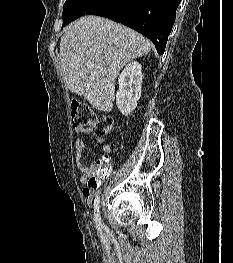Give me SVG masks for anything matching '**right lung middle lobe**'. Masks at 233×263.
Wrapping results in <instances>:
<instances>
[{"mask_svg":"<svg viewBox=\"0 0 233 263\" xmlns=\"http://www.w3.org/2000/svg\"><path fill=\"white\" fill-rule=\"evenodd\" d=\"M122 0H66L63 7V25L88 14L101 15L113 12Z\"/></svg>","mask_w":233,"mask_h":263,"instance_id":"obj_1","label":"right lung middle lobe"}]
</instances>
